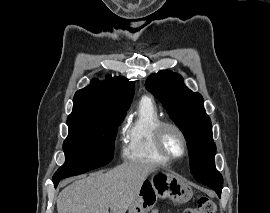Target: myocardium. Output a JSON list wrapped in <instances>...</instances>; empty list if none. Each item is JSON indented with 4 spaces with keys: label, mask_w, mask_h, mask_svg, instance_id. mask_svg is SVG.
<instances>
[{
    "label": "myocardium",
    "mask_w": 270,
    "mask_h": 213,
    "mask_svg": "<svg viewBox=\"0 0 270 213\" xmlns=\"http://www.w3.org/2000/svg\"><path fill=\"white\" fill-rule=\"evenodd\" d=\"M175 131L181 138L183 144V150L179 155H173L168 152L165 146V135L167 131ZM155 147L157 151L168 161H176L184 158L188 153V140L187 137L180 126L173 122L163 121L156 128L154 135Z\"/></svg>",
    "instance_id": "1"
}]
</instances>
